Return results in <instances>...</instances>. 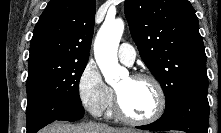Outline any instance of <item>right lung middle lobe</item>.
Returning <instances> with one entry per match:
<instances>
[{
    "label": "right lung middle lobe",
    "instance_id": "dd1d6c3e",
    "mask_svg": "<svg viewBox=\"0 0 221 133\" xmlns=\"http://www.w3.org/2000/svg\"><path fill=\"white\" fill-rule=\"evenodd\" d=\"M86 64L87 62L54 66L28 75V99L37 98L55 106L67 103L82 105L79 81Z\"/></svg>",
    "mask_w": 221,
    "mask_h": 133
}]
</instances>
